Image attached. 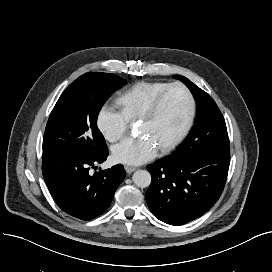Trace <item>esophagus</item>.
<instances>
[{"mask_svg": "<svg viewBox=\"0 0 272 272\" xmlns=\"http://www.w3.org/2000/svg\"><path fill=\"white\" fill-rule=\"evenodd\" d=\"M125 170L128 174H131L132 172H134L135 170H137L136 167L133 166H125Z\"/></svg>", "mask_w": 272, "mask_h": 272, "instance_id": "obj_1", "label": "esophagus"}]
</instances>
